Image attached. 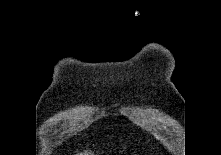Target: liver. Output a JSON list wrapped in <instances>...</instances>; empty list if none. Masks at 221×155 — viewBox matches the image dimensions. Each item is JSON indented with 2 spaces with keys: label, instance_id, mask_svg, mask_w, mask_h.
<instances>
[{
  "label": "liver",
  "instance_id": "obj_1",
  "mask_svg": "<svg viewBox=\"0 0 221 155\" xmlns=\"http://www.w3.org/2000/svg\"><path fill=\"white\" fill-rule=\"evenodd\" d=\"M78 155H93V153H92V152L85 151V152L80 153V154H78Z\"/></svg>",
  "mask_w": 221,
  "mask_h": 155
}]
</instances>
